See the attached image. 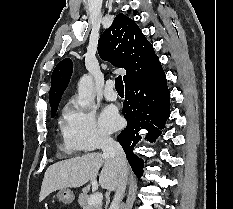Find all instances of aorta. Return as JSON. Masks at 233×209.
<instances>
[{
  "mask_svg": "<svg viewBox=\"0 0 233 209\" xmlns=\"http://www.w3.org/2000/svg\"><path fill=\"white\" fill-rule=\"evenodd\" d=\"M94 84L90 75L81 77L78 83V99L81 106H87L94 101Z\"/></svg>",
  "mask_w": 233,
  "mask_h": 209,
  "instance_id": "1",
  "label": "aorta"
}]
</instances>
